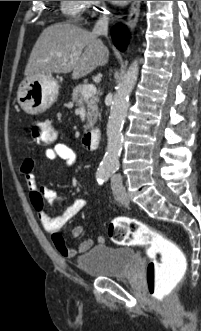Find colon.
<instances>
[{
	"label": "colon",
	"instance_id": "5ec220e1",
	"mask_svg": "<svg viewBox=\"0 0 201 331\" xmlns=\"http://www.w3.org/2000/svg\"><path fill=\"white\" fill-rule=\"evenodd\" d=\"M31 138L35 145L45 146L55 141L56 133L49 121L37 120L31 125ZM108 235L119 245L148 247L147 291L159 306H165L186 270V260L179 247L155 229L127 217L115 218Z\"/></svg>",
	"mask_w": 201,
	"mask_h": 331
}]
</instances>
